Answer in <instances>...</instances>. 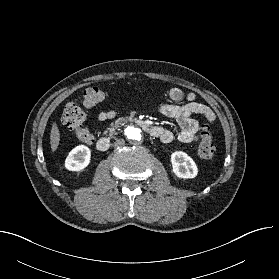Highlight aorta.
<instances>
[{
  "label": "aorta",
  "mask_w": 279,
  "mask_h": 279,
  "mask_svg": "<svg viewBox=\"0 0 279 279\" xmlns=\"http://www.w3.org/2000/svg\"><path fill=\"white\" fill-rule=\"evenodd\" d=\"M125 135L131 141H140L141 140V130L135 126H128L125 129Z\"/></svg>",
  "instance_id": "1"
}]
</instances>
